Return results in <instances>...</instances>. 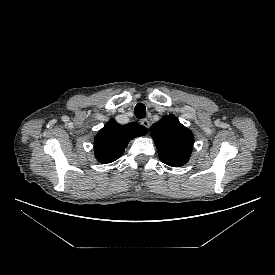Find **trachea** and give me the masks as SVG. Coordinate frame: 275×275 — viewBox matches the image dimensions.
<instances>
[{"label":"trachea","instance_id":"3493384b","mask_svg":"<svg viewBox=\"0 0 275 275\" xmlns=\"http://www.w3.org/2000/svg\"><path fill=\"white\" fill-rule=\"evenodd\" d=\"M134 114L137 118L143 119L146 115V107L143 103H138L134 108Z\"/></svg>","mask_w":275,"mask_h":275}]
</instances>
